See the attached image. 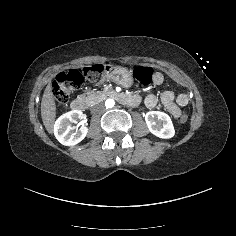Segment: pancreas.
<instances>
[{
  "label": "pancreas",
  "mask_w": 236,
  "mask_h": 236,
  "mask_svg": "<svg viewBox=\"0 0 236 236\" xmlns=\"http://www.w3.org/2000/svg\"><path fill=\"white\" fill-rule=\"evenodd\" d=\"M108 96V92L106 91H97V92H87L82 94L80 97L84 98L85 102L90 106L94 103L103 101Z\"/></svg>",
  "instance_id": "obj_1"
}]
</instances>
